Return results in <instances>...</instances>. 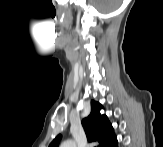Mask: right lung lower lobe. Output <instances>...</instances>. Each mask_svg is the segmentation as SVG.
I'll return each mask as SVG.
<instances>
[{"label": "right lung lower lobe", "mask_w": 163, "mask_h": 147, "mask_svg": "<svg viewBox=\"0 0 163 147\" xmlns=\"http://www.w3.org/2000/svg\"><path fill=\"white\" fill-rule=\"evenodd\" d=\"M108 147H118V141L117 138L113 140V142Z\"/></svg>", "instance_id": "1"}]
</instances>
